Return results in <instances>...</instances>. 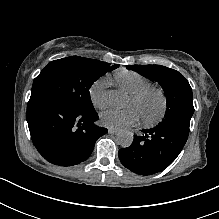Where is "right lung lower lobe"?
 Segmentation results:
<instances>
[{
    "label": "right lung lower lobe",
    "mask_w": 219,
    "mask_h": 219,
    "mask_svg": "<svg viewBox=\"0 0 219 219\" xmlns=\"http://www.w3.org/2000/svg\"><path fill=\"white\" fill-rule=\"evenodd\" d=\"M95 110L80 111L50 96H31L27 122L33 144L50 163L72 166L85 161L96 140L107 133L94 124Z\"/></svg>",
    "instance_id": "98d812e1"
}]
</instances>
